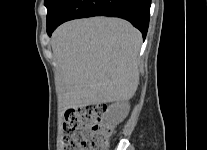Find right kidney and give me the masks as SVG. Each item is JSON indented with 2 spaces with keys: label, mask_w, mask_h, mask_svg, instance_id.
<instances>
[{
  "label": "right kidney",
  "mask_w": 207,
  "mask_h": 150,
  "mask_svg": "<svg viewBox=\"0 0 207 150\" xmlns=\"http://www.w3.org/2000/svg\"><path fill=\"white\" fill-rule=\"evenodd\" d=\"M130 105L127 101L116 102L109 107V115L112 121L122 122L129 113Z\"/></svg>",
  "instance_id": "1"
}]
</instances>
